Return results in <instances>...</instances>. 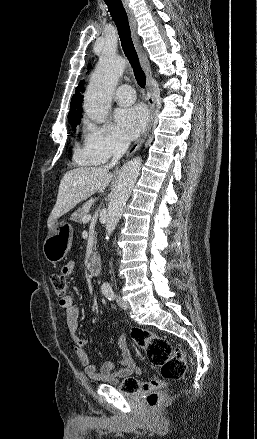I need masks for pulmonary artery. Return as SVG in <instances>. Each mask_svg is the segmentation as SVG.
<instances>
[{
	"instance_id": "pulmonary-artery-1",
	"label": "pulmonary artery",
	"mask_w": 257,
	"mask_h": 439,
	"mask_svg": "<svg viewBox=\"0 0 257 439\" xmlns=\"http://www.w3.org/2000/svg\"><path fill=\"white\" fill-rule=\"evenodd\" d=\"M135 92L130 85H122L115 92V100L120 105H128L134 102Z\"/></svg>"
}]
</instances>
